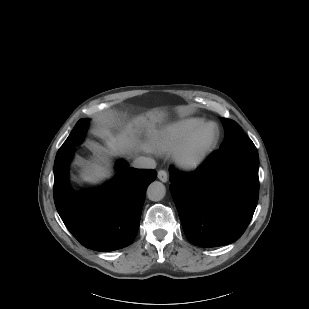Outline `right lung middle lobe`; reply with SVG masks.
I'll list each match as a JSON object with an SVG mask.
<instances>
[{"instance_id":"obj_1","label":"right lung middle lobe","mask_w":309,"mask_h":309,"mask_svg":"<svg viewBox=\"0 0 309 309\" xmlns=\"http://www.w3.org/2000/svg\"><path fill=\"white\" fill-rule=\"evenodd\" d=\"M88 122L89 119H80L77 122L69 137L57 152L55 161L72 151L76 145L83 141Z\"/></svg>"}]
</instances>
